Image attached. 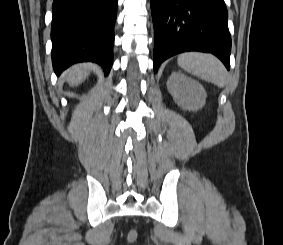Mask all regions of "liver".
Here are the masks:
<instances>
[{
  "label": "liver",
  "mask_w": 283,
  "mask_h": 245,
  "mask_svg": "<svg viewBox=\"0 0 283 245\" xmlns=\"http://www.w3.org/2000/svg\"><path fill=\"white\" fill-rule=\"evenodd\" d=\"M91 68L90 64L74 65L65 73V78L71 86H77L88 77Z\"/></svg>",
  "instance_id": "obj_1"
}]
</instances>
